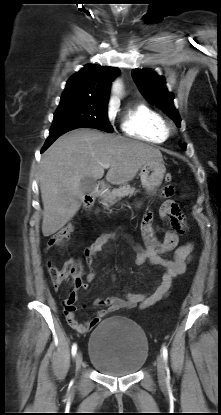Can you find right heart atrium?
<instances>
[{"instance_id":"1","label":"right heart atrium","mask_w":221,"mask_h":415,"mask_svg":"<svg viewBox=\"0 0 221 415\" xmlns=\"http://www.w3.org/2000/svg\"><path fill=\"white\" fill-rule=\"evenodd\" d=\"M115 115H116L115 106L113 104H110L107 108V111H106L107 120L109 122L113 121L114 118H115Z\"/></svg>"}]
</instances>
